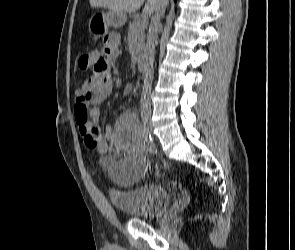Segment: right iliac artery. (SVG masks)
Here are the masks:
<instances>
[{
    "label": "right iliac artery",
    "mask_w": 295,
    "mask_h": 250,
    "mask_svg": "<svg viewBox=\"0 0 295 250\" xmlns=\"http://www.w3.org/2000/svg\"><path fill=\"white\" fill-rule=\"evenodd\" d=\"M142 131L145 133V148H148V154H155V148L153 147V143H151L150 131H147L145 128Z\"/></svg>",
    "instance_id": "82829eb1"
}]
</instances>
